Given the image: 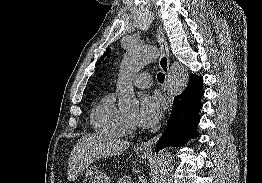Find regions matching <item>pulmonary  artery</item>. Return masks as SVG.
I'll list each match as a JSON object with an SVG mask.
<instances>
[{"instance_id":"obj_1","label":"pulmonary artery","mask_w":262,"mask_h":183,"mask_svg":"<svg viewBox=\"0 0 262 183\" xmlns=\"http://www.w3.org/2000/svg\"><path fill=\"white\" fill-rule=\"evenodd\" d=\"M132 82L139 88H148L151 85V76L147 72H142L137 74Z\"/></svg>"}]
</instances>
